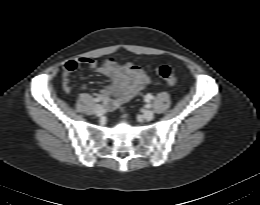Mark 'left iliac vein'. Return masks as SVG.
I'll return each mask as SVG.
<instances>
[{
    "label": "left iliac vein",
    "mask_w": 260,
    "mask_h": 205,
    "mask_svg": "<svg viewBox=\"0 0 260 205\" xmlns=\"http://www.w3.org/2000/svg\"><path fill=\"white\" fill-rule=\"evenodd\" d=\"M143 117H144L145 120L151 121V120L154 118V113H153V111H151V110H146V111L143 113Z\"/></svg>",
    "instance_id": "4c4485c4"
}]
</instances>
